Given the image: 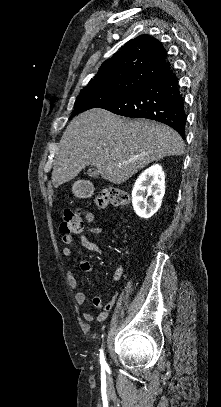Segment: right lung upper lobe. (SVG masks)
Masks as SVG:
<instances>
[{
    "instance_id": "obj_1",
    "label": "right lung upper lobe",
    "mask_w": 221,
    "mask_h": 407,
    "mask_svg": "<svg viewBox=\"0 0 221 407\" xmlns=\"http://www.w3.org/2000/svg\"><path fill=\"white\" fill-rule=\"evenodd\" d=\"M169 66L162 44L152 36L140 35L107 59L85 88L141 85Z\"/></svg>"
}]
</instances>
